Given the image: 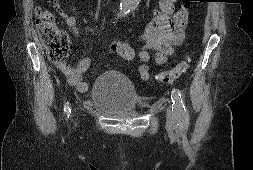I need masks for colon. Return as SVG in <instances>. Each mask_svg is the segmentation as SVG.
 <instances>
[{"mask_svg": "<svg viewBox=\"0 0 253 170\" xmlns=\"http://www.w3.org/2000/svg\"><path fill=\"white\" fill-rule=\"evenodd\" d=\"M191 1L194 0H185L176 13L177 21L181 24L187 23ZM36 14V26L48 58L56 62L63 61L69 55L71 48L68 35L56 26L55 17L49 10L38 8ZM187 68V62L182 61L171 70L160 73L157 79L162 83L174 82L186 72Z\"/></svg>", "mask_w": 253, "mask_h": 170, "instance_id": "1", "label": "colon"}]
</instances>
